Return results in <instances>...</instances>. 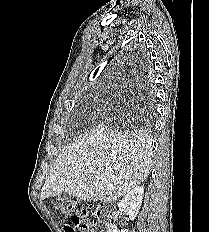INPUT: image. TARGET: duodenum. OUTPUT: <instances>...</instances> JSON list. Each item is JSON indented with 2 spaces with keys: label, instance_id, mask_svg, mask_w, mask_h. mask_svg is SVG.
<instances>
[{
  "label": "duodenum",
  "instance_id": "obj_1",
  "mask_svg": "<svg viewBox=\"0 0 209 232\" xmlns=\"http://www.w3.org/2000/svg\"><path fill=\"white\" fill-rule=\"evenodd\" d=\"M108 221L105 214V207L99 205L96 210L95 232H106Z\"/></svg>",
  "mask_w": 209,
  "mask_h": 232
}]
</instances>
